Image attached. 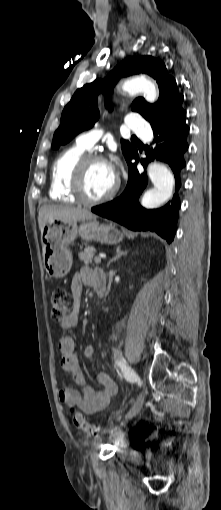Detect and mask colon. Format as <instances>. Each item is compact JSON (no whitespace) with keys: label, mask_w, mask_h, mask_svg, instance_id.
Masks as SVG:
<instances>
[{"label":"colon","mask_w":221,"mask_h":510,"mask_svg":"<svg viewBox=\"0 0 221 510\" xmlns=\"http://www.w3.org/2000/svg\"><path fill=\"white\" fill-rule=\"evenodd\" d=\"M73 307V295L67 290L63 288H56L52 291L51 317L53 320H62L73 310ZM71 412L73 424L77 429L82 430L90 436H96L99 433V429L96 426L89 424L86 417L82 413L76 411L74 407L71 408Z\"/></svg>","instance_id":"colon-1"}]
</instances>
